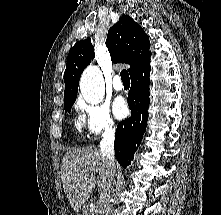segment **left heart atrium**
<instances>
[{
	"instance_id": "39dd6f15",
	"label": "left heart atrium",
	"mask_w": 221,
	"mask_h": 215,
	"mask_svg": "<svg viewBox=\"0 0 221 215\" xmlns=\"http://www.w3.org/2000/svg\"><path fill=\"white\" fill-rule=\"evenodd\" d=\"M113 111L117 118L122 119L128 114V106L123 97H117L113 104Z\"/></svg>"
}]
</instances>
